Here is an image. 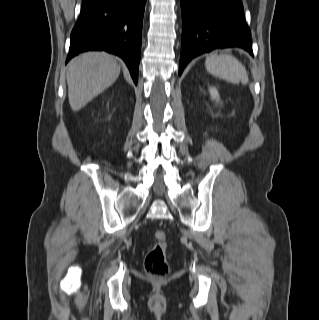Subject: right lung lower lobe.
I'll list each match as a JSON object with an SVG mask.
<instances>
[{
    "label": "right lung lower lobe",
    "instance_id": "1",
    "mask_svg": "<svg viewBox=\"0 0 319 320\" xmlns=\"http://www.w3.org/2000/svg\"><path fill=\"white\" fill-rule=\"evenodd\" d=\"M145 4L146 0H82L66 63L80 52L105 50L125 61L137 83Z\"/></svg>",
    "mask_w": 319,
    "mask_h": 320
}]
</instances>
